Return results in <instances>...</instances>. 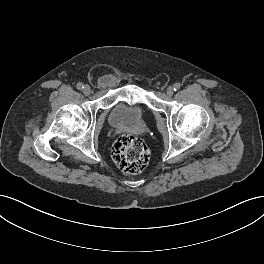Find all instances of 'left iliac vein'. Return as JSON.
<instances>
[{
	"instance_id": "left-iliac-vein-1",
	"label": "left iliac vein",
	"mask_w": 264,
	"mask_h": 264,
	"mask_svg": "<svg viewBox=\"0 0 264 264\" xmlns=\"http://www.w3.org/2000/svg\"><path fill=\"white\" fill-rule=\"evenodd\" d=\"M166 93L169 97H171L174 93L173 87H168Z\"/></svg>"
}]
</instances>
